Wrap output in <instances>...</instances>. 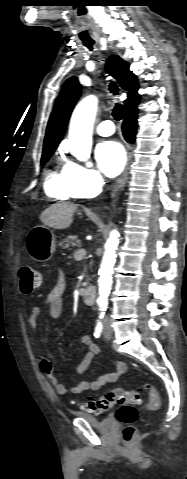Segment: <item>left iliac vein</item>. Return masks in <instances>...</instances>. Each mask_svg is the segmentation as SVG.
Masks as SVG:
<instances>
[{"instance_id": "1", "label": "left iliac vein", "mask_w": 187, "mask_h": 479, "mask_svg": "<svg viewBox=\"0 0 187 479\" xmlns=\"http://www.w3.org/2000/svg\"><path fill=\"white\" fill-rule=\"evenodd\" d=\"M103 336L106 340H111L113 336V330L109 324V322L104 323V331Z\"/></svg>"}]
</instances>
